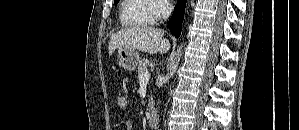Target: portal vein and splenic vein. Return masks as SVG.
I'll use <instances>...</instances> for the list:
<instances>
[{
    "instance_id": "1",
    "label": "portal vein and splenic vein",
    "mask_w": 299,
    "mask_h": 130,
    "mask_svg": "<svg viewBox=\"0 0 299 130\" xmlns=\"http://www.w3.org/2000/svg\"><path fill=\"white\" fill-rule=\"evenodd\" d=\"M150 79V73L149 71H146L145 73H143L140 77V82H148Z\"/></svg>"
}]
</instances>
